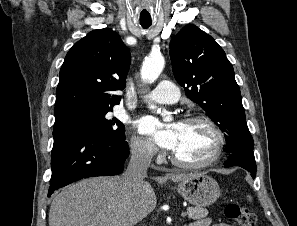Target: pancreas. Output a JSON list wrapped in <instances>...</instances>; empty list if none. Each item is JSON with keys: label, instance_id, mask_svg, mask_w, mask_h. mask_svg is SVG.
I'll list each match as a JSON object with an SVG mask.
<instances>
[{"label": "pancreas", "instance_id": "cf45deb5", "mask_svg": "<svg viewBox=\"0 0 297 226\" xmlns=\"http://www.w3.org/2000/svg\"><path fill=\"white\" fill-rule=\"evenodd\" d=\"M208 210L203 207H188L187 214L188 218L192 220L203 219L208 215Z\"/></svg>", "mask_w": 297, "mask_h": 226}]
</instances>
